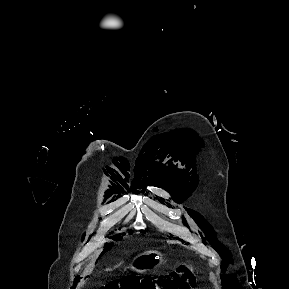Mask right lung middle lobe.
I'll list each match as a JSON object with an SVG mask.
<instances>
[{
    "mask_svg": "<svg viewBox=\"0 0 289 289\" xmlns=\"http://www.w3.org/2000/svg\"><path fill=\"white\" fill-rule=\"evenodd\" d=\"M120 236H114L112 237L113 239H118ZM122 238V237H121Z\"/></svg>",
    "mask_w": 289,
    "mask_h": 289,
    "instance_id": "1",
    "label": "right lung middle lobe"
}]
</instances>
